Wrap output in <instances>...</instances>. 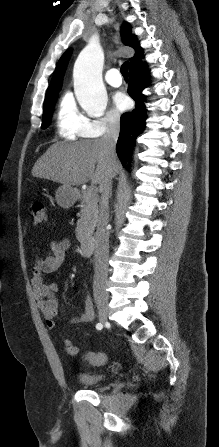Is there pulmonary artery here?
Here are the masks:
<instances>
[{"mask_svg": "<svg viewBox=\"0 0 219 447\" xmlns=\"http://www.w3.org/2000/svg\"><path fill=\"white\" fill-rule=\"evenodd\" d=\"M105 81L112 87H119L122 85V77L118 69L112 68L105 75Z\"/></svg>", "mask_w": 219, "mask_h": 447, "instance_id": "obj_1", "label": "pulmonary artery"}]
</instances>
